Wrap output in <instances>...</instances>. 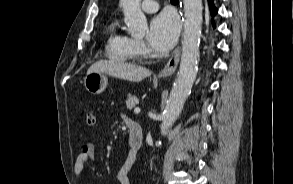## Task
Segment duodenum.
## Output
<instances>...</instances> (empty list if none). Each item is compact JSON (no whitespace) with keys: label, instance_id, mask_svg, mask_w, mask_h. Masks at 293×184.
<instances>
[{"label":"duodenum","instance_id":"410a0bca","mask_svg":"<svg viewBox=\"0 0 293 184\" xmlns=\"http://www.w3.org/2000/svg\"><path fill=\"white\" fill-rule=\"evenodd\" d=\"M129 126V145L132 154L136 155L143 143L142 127L133 121L128 123Z\"/></svg>","mask_w":293,"mask_h":184}]
</instances>
